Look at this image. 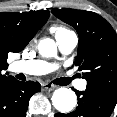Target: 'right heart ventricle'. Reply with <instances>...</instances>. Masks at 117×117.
<instances>
[{"label":"right heart ventricle","mask_w":117,"mask_h":117,"mask_svg":"<svg viewBox=\"0 0 117 117\" xmlns=\"http://www.w3.org/2000/svg\"><path fill=\"white\" fill-rule=\"evenodd\" d=\"M50 31H51V32L55 35V37H56V36L61 35V34L65 33V32H68L69 30L66 29L65 27H62V26H52V27L50 28Z\"/></svg>","instance_id":"right-heart-ventricle-1"}]
</instances>
